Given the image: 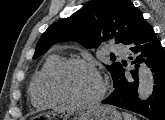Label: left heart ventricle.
<instances>
[{
    "instance_id": "left-heart-ventricle-1",
    "label": "left heart ventricle",
    "mask_w": 165,
    "mask_h": 120,
    "mask_svg": "<svg viewBox=\"0 0 165 120\" xmlns=\"http://www.w3.org/2000/svg\"><path fill=\"white\" fill-rule=\"evenodd\" d=\"M58 86L70 98L85 99L98 94L101 82L92 70L82 66H72L61 73Z\"/></svg>"
}]
</instances>
